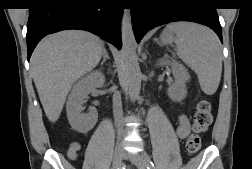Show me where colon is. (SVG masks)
<instances>
[{"label": "colon", "mask_w": 252, "mask_h": 169, "mask_svg": "<svg viewBox=\"0 0 252 169\" xmlns=\"http://www.w3.org/2000/svg\"><path fill=\"white\" fill-rule=\"evenodd\" d=\"M212 122L211 105L207 100H200L196 107L193 119V134L187 141V151L193 155L197 153L201 147L200 134L204 132ZM70 156H74L73 153Z\"/></svg>", "instance_id": "colon-1"}]
</instances>
